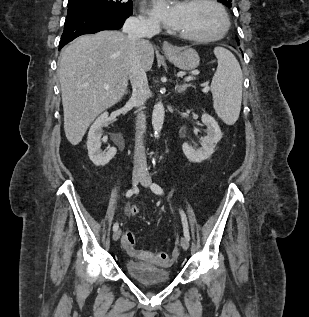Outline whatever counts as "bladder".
Returning <instances> with one entry per match:
<instances>
[{
	"label": "bladder",
	"mask_w": 309,
	"mask_h": 317,
	"mask_svg": "<svg viewBox=\"0 0 309 317\" xmlns=\"http://www.w3.org/2000/svg\"><path fill=\"white\" fill-rule=\"evenodd\" d=\"M125 271L130 278L144 286L166 284L171 278L167 268L134 259L126 260Z\"/></svg>",
	"instance_id": "1"
}]
</instances>
